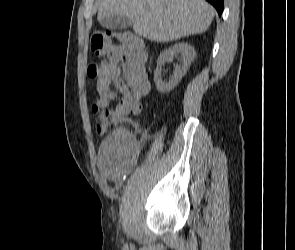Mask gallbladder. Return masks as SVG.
Instances as JSON below:
<instances>
[{
    "label": "gallbladder",
    "mask_w": 295,
    "mask_h": 250,
    "mask_svg": "<svg viewBox=\"0 0 295 250\" xmlns=\"http://www.w3.org/2000/svg\"><path fill=\"white\" fill-rule=\"evenodd\" d=\"M100 24L111 30H122L131 25V22L127 16L115 15L106 17L100 21Z\"/></svg>",
    "instance_id": "gallbladder-1"
}]
</instances>
